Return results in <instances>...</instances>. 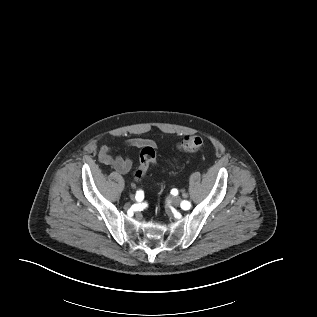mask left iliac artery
Here are the masks:
<instances>
[{"instance_id":"44dca946","label":"left iliac artery","mask_w":317,"mask_h":317,"mask_svg":"<svg viewBox=\"0 0 317 317\" xmlns=\"http://www.w3.org/2000/svg\"><path fill=\"white\" fill-rule=\"evenodd\" d=\"M181 207H182L183 209H189V208L191 207V204H190V202H188V201H186V200H183Z\"/></svg>"}]
</instances>
